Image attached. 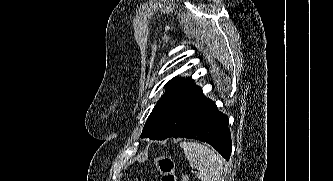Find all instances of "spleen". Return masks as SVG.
<instances>
[{
    "label": "spleen",
    "instance_id": "3e777b00",
    "mask_svg": "<svg viewBox=\"0 0 333 181\" xmlns=\"http://www.w3.org/2000/svg\"><path fill=\"white\" fill-rule=\"evenodd\" d=\"M190 166L197 169V178L201 181H220L223 175L224 161L219 154L207 146L196 142H181Z\"/></svg>",
    "mask_w": 333,
    "mask_h": 181
}]
</instances>
